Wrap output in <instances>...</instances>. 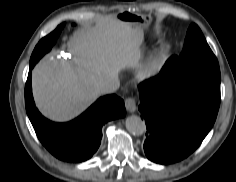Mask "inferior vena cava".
Instances as JSON below:
<instances>
[{
  "mask_svg": "<svg viewBox=\"0 0 236 182\" xmlns=\"http://www.w3.org/2000/svg\"><path fill=\"white\" fill-rule=\"evenodd\" d=\"M120 86V81L118 77L109 78L104 81L100 87L99 91L101 94H109L115 92Z\"/></svg>",
  "mask_w": 236,
  "mask_h": 182,
  "instance_id": "inferior-vena-cava-1",
  "label": "inferior vena cava"
}]
</instances>
